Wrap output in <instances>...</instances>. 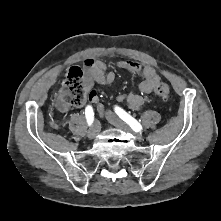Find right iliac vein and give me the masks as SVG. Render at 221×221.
Segmentation results:
<instances>
[{"label":"right iliac vein","instance_id":"right-iliac-vein-1","mask_svg":"<svg viewBox=\"0 0 221 221\" xmlns=\"http://www.w3.org/2000/svg\"><path fill=\"white\" fill-rule=\"evenodd\" d=\"M100 129H101V125L98 121H96L88 132V138L94 139L99 134Z\"/></svg>","mask_w":221,"mask_h":221}]
</instances>
